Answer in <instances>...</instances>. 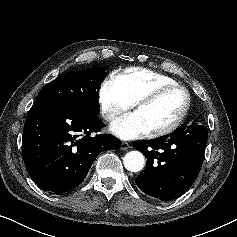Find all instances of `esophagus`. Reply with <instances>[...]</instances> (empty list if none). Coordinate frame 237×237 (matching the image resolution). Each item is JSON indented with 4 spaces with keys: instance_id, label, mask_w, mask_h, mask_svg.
<instances>
[{
    "instance_id": "obj_1",
    "label": "esophagus",
    "mask_w": 237,
    "mask_h": 237,
    "mask_svg": "<svg viewBox=\"0 0 237 237\" xmlns=\"http://www.w3.org/2000/svg\"><path fill=\"white\" fill-rule=\"evenodd\" d=\"M129 148H131V145L128 142H122L120 145L121 150H127Z\"/></svg>"
}]
</instances>
